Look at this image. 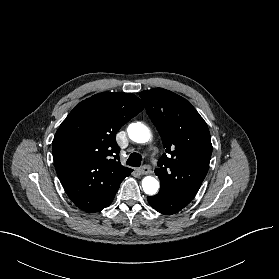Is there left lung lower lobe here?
<instances>
[{
	"label": "left lung lower lobe",
	"mask_w": 279,
	"mask_h": 279,
	"mask_svg": "<svg viewBox=\"0 0 279 279\" xmlns=\"http://www.w3.org/2000/svg\"><path fill=\"white\" fill-rule=\"evenodd\" d=\"M147 199L156 211L162 214H174L187 206L193 197L176 195L160 190L157 195L148 196Z\"/></svg>",
	"instance_id": "left-lung-lower-lobe-1"
}]
</instances>
